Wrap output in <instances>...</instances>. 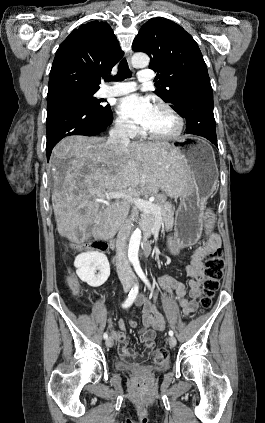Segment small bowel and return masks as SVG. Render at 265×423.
I'll list each match as a JSON object with an SVG mask.
<instances>
[{
    "instance_id": "small-bowel-1",
    "label": "small bowel",
    "mask_w": 265,
    "mask_h": 423,
    "mask_svg": "<svg viewBox=\"0 0 265 423\" xmlns=\"http://www.w3.org/2000/svg\"><path fill=\"white\" fill-rule=\"evenodd\" d=\"M220 244L219 235L215 232H208L206 243L195 251L190 264L186 267V272L190 277L187 286L172 276H162L158 279L160 289L174 296L185 316L194 313L198 307L197 298L200 296V286L204 279L203 258L210 250L219 248ZM135 305L142 310V327L138 336L144 348L143 351L137 352L128 347L127 327L122 319L118 320L120 331L113 332V337L119 344V354L127 362L131 360L140 362L147 358L153 349L157 332L165 328L163 315L145 295H139L135 300ZM129 325L135 328L137 323L130 321Z\"/></svg>"
}]
</instances>
